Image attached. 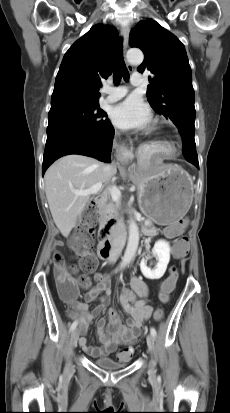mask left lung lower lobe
<instances>
[{"instance_id": "1", "label": "left lung lower lobe", "mask_w": 230, "mask_h": 413, "mask_svg": "<svg viewBox=\"0 0 230 413\" xmlns=\"http://www.w3.org/2000/svg\"><path fill=\"white\" fill-rule=\"evenodd\" d=\"M182 139H183V155L185 159L199 169L196 147H194L195 146L194 135L190 134L189 132H186L182 134Z\"/></svg>"}]
</instances>
